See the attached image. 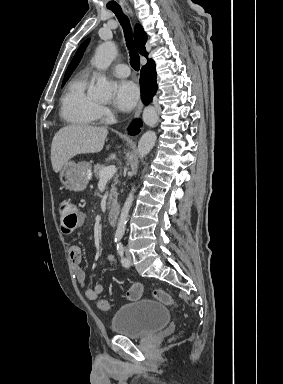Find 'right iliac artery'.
<instances>
[{
  "mask_svg": "<svg viewBox=\"0 0 283 384\" xmlns=\"http://www.w3.org/2000/svg\"><path fill=\"white\" fill-rule=\"evenodd\" d=\"M121 239V236H115V242H118Z\"/></svg>",
  "mask_w": 283,
  "mask_h": 384,
  "instance_id": "1",
  "label": "right iliac artery"
}]
</instances>
